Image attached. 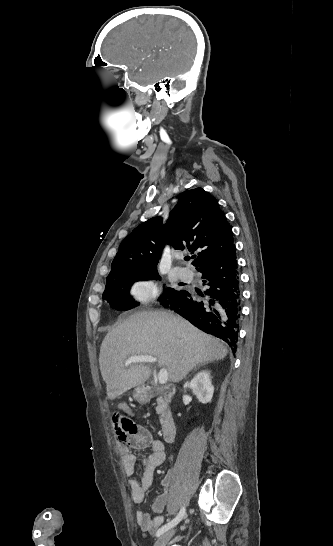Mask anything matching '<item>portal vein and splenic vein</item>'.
<instances>
[{
  "instance_id": "18ae733b",
  "label": "portal vein and splenic vein",
  "mask_w": 333,
  "mask_h": 546,
  "mask_svg": "<svg viewBox=\"0 0 333 546\" xmlns=\"http://www.w3.org/2000/svg\"><path fill=\"white\" fill-rule=\"evenodd\" d=\"M157 358L151 355H135L130 356L126 361L125 365L128 366L131 363H155ZM158 380L160 384H166L168 381V371L165 368H162L158 373Z\"/></svg>"
}]
</instances>
